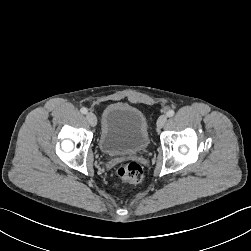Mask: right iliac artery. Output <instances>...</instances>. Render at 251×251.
<instances>
[{"mask_svg": "<svg viewBox=\"0 0 251 251\" xmlns=\"http://www.w3.org/2000/svg\"><path fill=\"white\" fill-rule=\"evenodd\" d=\"M80 112L82 114H86L88 112V110H87V108L83 107V108L80 109Z\"/></svg>", "mask_w": 251, "mask_h": 251, "instance_id": "82829eb1", "label": "right iliac artery"}]
</instances>
